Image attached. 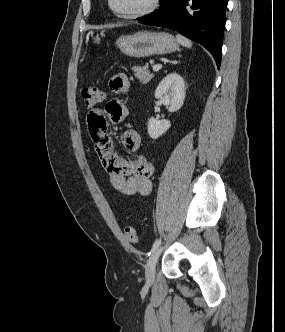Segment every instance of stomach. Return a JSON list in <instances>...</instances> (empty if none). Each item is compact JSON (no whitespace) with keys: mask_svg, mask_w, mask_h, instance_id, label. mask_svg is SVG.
Here are the masks:
<instances>
[{"mask_svg":"<svg viewBox=\"0 0 285 332\" xmlns=\"http://www.w3.org/2000/svg\"><path fill=\"white\" fill-rule=\"evenodd\" d=\"M93 37V33H91ZM94 43H100L99 35L93 37ZM117 47L130 57L144 58L176 51L179 45L167 32L142 31L132 35H122L116 40Z\"/></svg>","mask_w":285,"mask_h":332,"instance_id":"stomach-1","label":"stomach"}]
</instances>
